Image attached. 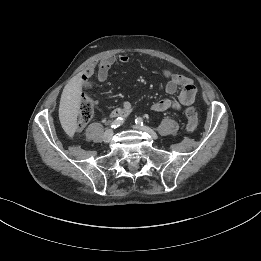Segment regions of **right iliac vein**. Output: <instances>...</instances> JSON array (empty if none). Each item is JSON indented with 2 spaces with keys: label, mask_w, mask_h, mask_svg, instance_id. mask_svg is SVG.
Wrapping results in <instances>:
<instances>
[{
  "label": "right iliac vein",
  "mask_w": 261,
  "mask_h": 261,
  "mask_svg": "<svg viewBox=\"0 0 261 261\" xmlns=\"http://www.w3.org/2000/svg\"><path fill=\"white\" fill-rule=\"evenodd\" d=\"M113 130H107L103 135V141L109 143L113 138Z\"/></svg>",
  "instance_id": "right-iliac-vein-1"
}]
</instances>
